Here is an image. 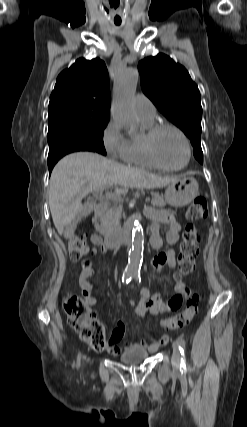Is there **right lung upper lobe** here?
<instances>
[{"label": "right lung upper lobe", "instance_id": "obj_1", "mask_svg": "<svg viewBox=\"0 0 247 427\" xmlns=\"http://www.w3.org/2000/svg\"><path fill=\"white\" fill-rule=\"evenodd\" d=\"M64 109L110 113L109 75L102 60L80 58L59 74L49 114Z\"/></svg>", "mask_w": 247, "mask_h": 427}]
</instances>
